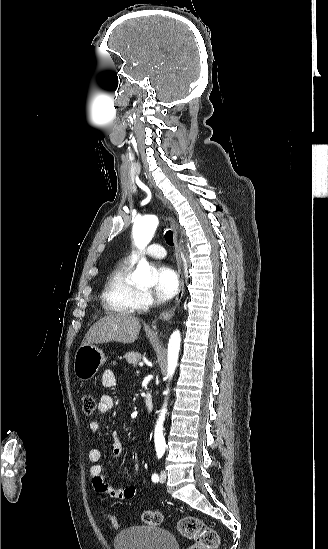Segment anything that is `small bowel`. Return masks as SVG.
<instances>
[{
  "instance_id": "1",
  "label": "small bowel",
  "mask_w": 328,
  "mask_h": 549,
  "mask_svg": "<svg viewBox=\"0 0 328 549\" xmlns=\"http://www.w3.org/2000/svg\"><path fill=\"white\" fill-rule=\"evenodd\" d=\"M102 385L106 388H112L116 384V376L112 370H106L102 375ZM114 407V399L108 394L101 396L97 406V410L100 414H107ZM101 424L97 420H92L89 423V429L93 432L100 430ZM122 453V444L115 440L112 447V460L116 461ZM131 457L134 461V470H139V453L133 451ZM101 459V451L97 448L90 449L88 452V460L90 462L89 474L92 479V484L97 493L106 495L116 500H130L134 498L137 492L135 485H128L124 488H114L108 485L104 481V471L99 461Z\"/></svg>"
}]
</instances>
